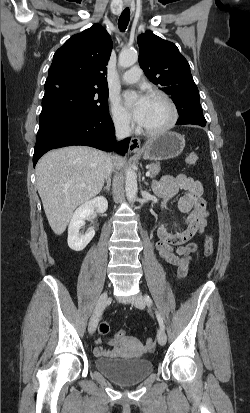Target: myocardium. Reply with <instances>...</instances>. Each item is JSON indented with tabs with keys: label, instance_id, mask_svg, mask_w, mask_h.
Returning <instances> with one entry per match:
<instances>
[{
	"label": "myocardium",
	"instance_id": "obj_1",
	"mask_svg": "<svg viewBox=\"0 0 250 413\" xmlns=\"http://www.w3.org/2000/svg\"><path fill=\"white\" fill-rule=\"evenodd\" d=\"M150 97L164 101L170 109L171 117L169 122L162 128L150 130L141 126L140 131L147 136H160L167 133L175 126L179 117L178 109L171 97H169L166 93L162 91H152L150 92Z\"/></svg>",
	"mask_w": 250,
	"mask_h": 413
}]
</instances>
